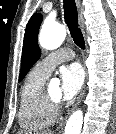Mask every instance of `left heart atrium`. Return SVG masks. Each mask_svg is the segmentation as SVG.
Returning a JSON list of instances; mask_svg holds the SVG:
<instances>
[{
    "label": "left heart atrium",
    "mask_w": 116,
    "mask_h": 134,
    "mask_svg": "<svg viewBox=\"0 0 116 134\" xmlns=\"http://www.w3.org/2000/svg\"><path fill=\"white\" fill-rule=\"evenodd\" d=\"M60 99L70 101L80 91L84 83V71L79 64L73 63L60 70Z\"/></svg>",
    "instance_id": "left-heart-atrium-1"
}]
</instances>
